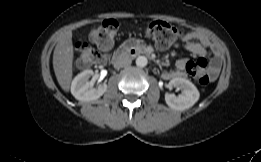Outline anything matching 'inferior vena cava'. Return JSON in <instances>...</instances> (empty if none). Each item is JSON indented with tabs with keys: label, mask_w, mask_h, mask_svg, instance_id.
Instances as JSON below:
<instances>
[{
	"label": "inferior vena cava",
	"mask_w": 261,
	"mask_h": 162,
	"mask_svg": "<svg viewBox=\"0 0 261 162\" xmlns=\"http://www.w3.org/2000/svg\"><path fill=\"white\" fill-rule=\"evenodd\" d=\"M130 64H131V60L130 59H120L119 60V66L120 67H128V66H130Z\"/></svg>",
	"instance_id": "1"
}]
</instances>
